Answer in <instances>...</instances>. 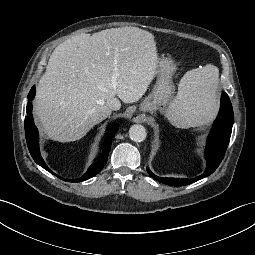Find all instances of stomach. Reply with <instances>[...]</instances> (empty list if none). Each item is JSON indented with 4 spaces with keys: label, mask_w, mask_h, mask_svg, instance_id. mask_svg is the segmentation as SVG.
Wrapping results in <instances>:
<instances>
[{
    "label": "stomach",
    "mask_w": 255,
    "mask_h": 255,
    "mask_svg": "<svg viewBox=\"0 0 255 255\" xmlns=\"http://www.w3.org/2000/svg\"><path fill=\"white\" fill-rule=\"evenodd\" d=\"M176 71V64L167 57L158 60L156 83L151 93L140 104V111L154 113L159 110L166 112L174 99L175 86L173 75Z\"/></svg>",
    "instance_id": "stomach-1"
}]
</instances>
